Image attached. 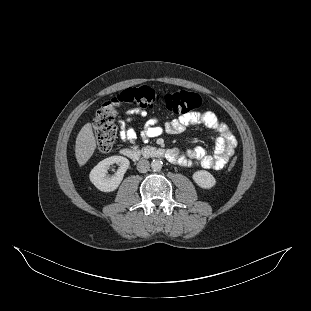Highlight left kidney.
Instances as JSON below:
<instances>
[{
	"label": "left kidney",
	"mask_w": 311,
	"mask_h": 311,
	"mask_svg": "<svg viewBox=\"0 0 311 311\" xmlns=\"http://www.w3.org/2000/svg\"><path fill=\"white\" fill-rule=\"evenodd\" d=\"M193 180L198 186L204 189H210L216 184V180L213 175L205 170L195 172L193 174Z\"/></svg>",
	"instance_id": "1"
}]
</instances>
